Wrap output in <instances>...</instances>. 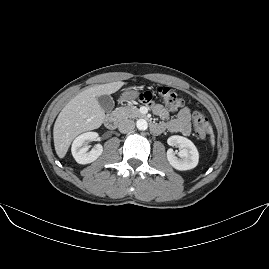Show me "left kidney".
Masks as SVG:
<instances>
[{
	"instance_id": "1",
	"label": "left kidney",
	"mask_w": 269,
	"mask_h": 269,
	"mask_svg": "<svg viewBox=\"0 0 269 269\" xmlns=\"http://www.w3.org/2000/svg\"><path fill=\"white\" fill-rule=\"evenodd\" d=\"M167 144L171 147L180 145L181 151L176 152L173 148L167 150L168 161L173 167L179 170H188L198 164V151L195 145L188 138L179 135L170 136Z\"/></svg>"
}]
</instances>
